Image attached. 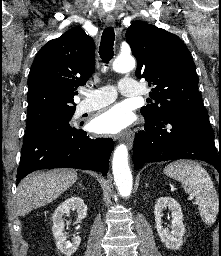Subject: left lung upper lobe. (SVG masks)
Listing matches in <instances>:
<instances>
[{
	"mask_svg": "<svg viewBox=\"0 0 221 256\" xmlns=\"http://www.w3.org/2000/svg\"><path fill=\"white\" fill-rule=\"evenodd\" d=\"M126 41L138 61L137 78L152 87L155 103L141 108L145 119L160 121L174 111L206 113L198 91V76L189 50L182 40L145 22L128 27Z\"/></svg>",
	"mask_w": 221,
	"mask_h": 256,
	"instance_id": "5c2ea615",
	"label": "left lung upper lobe"
}]
</instances>
